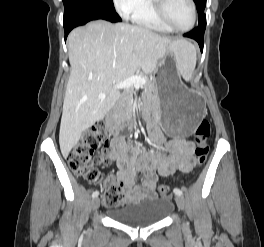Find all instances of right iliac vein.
<instances>
[{"instance_id": "obj_1", "label": "right iliac vein", "mask_w": 264, "mask_h": 247, "mask_svg": "<svg viewBox=\"0 0 264 247\" xmlns=\"http://www.w3.org/2000/svg\"><path fill=\"white\" fill-rule=\"evenodd\" d=\"M100 204L99 198H94L91 203V207L93 210H97Z\"/></svg>"}]
</instances>
